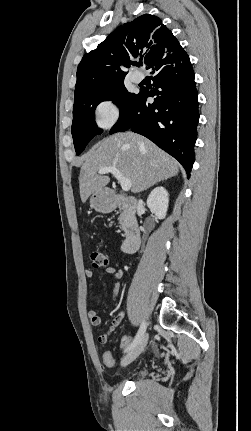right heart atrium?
I'll return each mask as SVG.
<instances>
[{"mask_svg": "<svg viewBox=\"0 0 251 431\" xmlns=\"http://www.w3.org/2000/svg\"><path fill=\"white\" fill-rule=\"evenodd\" d=\"M120 116L118 104L110 99L99 101L93 109L94 123L99 129H109L116 124Z\"/></svg>", "mask_w": 251, "mask_h": 431, "instance_id": "obj_1", "label": "right heart atrium"}]
</instances>
